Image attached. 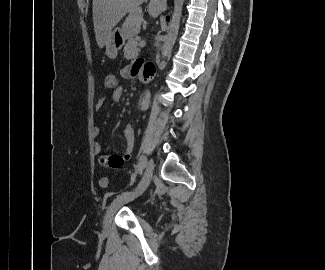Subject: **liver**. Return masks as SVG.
<instances>
[{"instance_id": "6515ba94", "label": "liver", "mask_w": 325, "mask_h": 270, "mask_svg": "<svg viewBox=\"0 0 325 270\" xmlns=\"http://www.w3.org/2000/svg\"><path fill=\"white\" fill-rule=\"evenodd\" d=\"M144 0H93V23L97 44L103 48L112 29L127 14L122 32L126 39L136 36L143 22L142 8Z\"/></svg>"}]
</instances>
